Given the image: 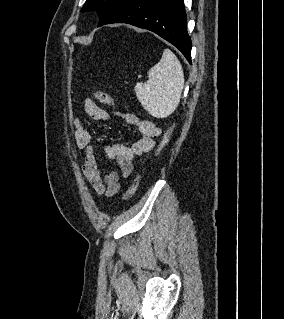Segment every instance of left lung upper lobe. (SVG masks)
Instances as JSON below:
<instances>
[{
  "mask_svg": "<svg viewBox=\"0 0 284 319\" xmlns=\"http://www.w3.org/2000/svg\"><path fill=\"white\" fill-rule=\"evenodd\" d=\"M125 0H86L81 12L97 11L100 16L99 26L104 25L120 8Z\"/></svg>",
  "mask_w": 284,
  "mask_h": 319,
  "instance_id": "5c2ea615",
  "label": "left lung upper lobe"
}]
</instances>
